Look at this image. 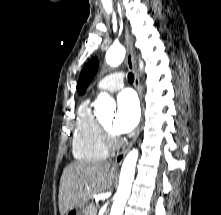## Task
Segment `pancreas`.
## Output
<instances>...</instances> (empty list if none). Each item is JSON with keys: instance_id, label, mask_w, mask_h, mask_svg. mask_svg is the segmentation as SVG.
Segmentation results:
<instances>
[{"instance_id": "pancreas-1", "label": "pancreas", "mask_w": 221, "mask_h": 215, "mask_svg": "<svg viewBox=\"0 0 221 215\" xmlns=\"http://www.w3.org/2000/svg\"><path fill=\"white\" fill-rule=\"evenodd\" d=\"M84 215H97V206L95 204H90L85 207Z\"/></svg>"}]
</instances>
